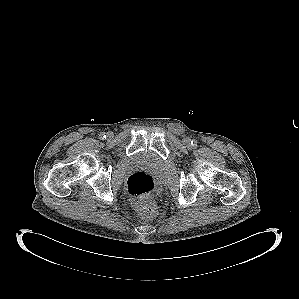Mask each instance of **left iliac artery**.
Returning a JSON list of instances; mask_svg holds the SVG:
<instances>
[{
	"label": "left iliac artery",
	"instance_id": "44dca946",
	"mask_svg": "<svg viewBox=\"0 0 299 299\" xmlns=\"http://www.w3.org/2000/svg\"><path fill=\"white\" fill-rule=\"evenodd\" d=\"M191 145H192L193 147L197 146V141H196V140H192V141H191Z\"/></svg>",
	"mask_w": 299,
	"mask_h": 299
}]
</instances>
